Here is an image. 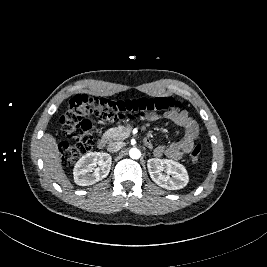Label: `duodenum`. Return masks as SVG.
Segmentation results:
<instances>
[{"mask_svg": "<svg viewBox=\"0 0 267 267\" xmlns=\"http://www.w3.org/2000/svg\"><path fill=\"white\" fill-rule=\"evenodd\" d=\"M108 143V139L106 137H101L98 141H97V147L99 149H104L106 147Z\"/></svg>", "mask_w": 267, "mask_h": 267, "instance_id": "1", "label": "duodenum"}]
</instances>
